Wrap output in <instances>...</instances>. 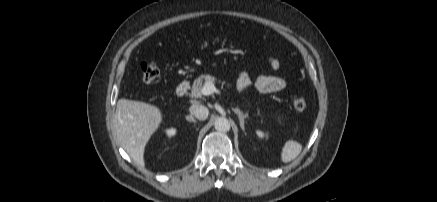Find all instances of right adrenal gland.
I'll list each match as a JSON object with an SVG mask.
<instances>
[{"mask_svg":"<svg viewBox=\"0 0 437 202\" xmlns=\"http://www.w3.org/2000/svg\"><path fill=\"white\" fill-rule=\"evenodd\" d=\"M186 120L189 121V122H193V123H196V122H197V121L193 118V116H191V115L186 116Z\"/></svg>","mask_w":437,"mask_h":202,"instance_id":"obj_1","label":"right adrenal gland"}]
</instances>
